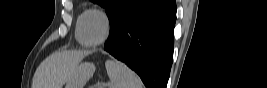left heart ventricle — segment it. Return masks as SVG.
<instances>
[{"label": "left heart ventricle", "mask_w": 267, "mask_h": 88, "mask_svg": "<svg viewBox=\"0 0 267 88\" xmlns=\"http://www.w3.org/2000/svg\"><path fill=\"white\" fill-rule=\"evenodd\" d=\"M105 31V26L103 20L96 15H89L86 18L84 33L85 37L89 42L99 41Z\"/></svg>", "instance_id": "obj_1"}]
</instances>
